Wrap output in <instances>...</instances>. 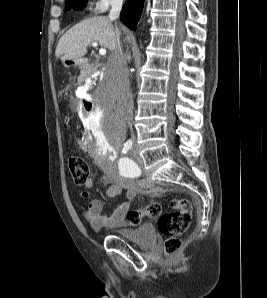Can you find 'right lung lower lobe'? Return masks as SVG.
<instances>
[{
	"label": "right lung lower lobe",
	"mask_w": 267,
	"mask_h": 298,
	"mask_svg": "<svg viewBox=\"0 0 267 298\" xmlns=\"http://www.w3.org/2000/svg\"><path fill=\"white\" fill-rule=\"evenodd\" d=\"M144 0H126L121 11V21L130 29L135 30L139 21Z\"/></svg>",
	"instance_id": "98d812e1"
}]
</instances>
